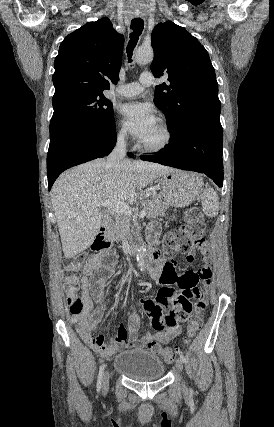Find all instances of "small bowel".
<instances>
[{
  "instance_id": "obj_1",
  "label": "small bowel",
  "mask_w": 274,
  "mask_h": 427,
  "mask_svg": "<svg viewBox=\"0 0 274 427\" xmlns=\"http://www.w3.org/2000/svg\"><path fill=\"white\" fill-rule=\"evenodd\" d=\"M159 232V225L151 223L147 230L149 240L154 241ZM195 252L202 257L208 254L207 249L200 244L194 245L193 249L189 248L186 251L188 265H197L198 258L193 256ZM117 261L118 256L114 250L98 248L90 255L82 269L83 310L78 314H72L71 318L81 338L99 356L112 358L123 350L145 349L151 342L166 343L174 336H182L183 329L180 327L179 320H187L190 314L189 311L182 310H195L196 305L206 306V298L211 285L210 279L213 276L209 264H202L200 269H180L179 271L176 264H169L162 277L166 261L158 259L150 263L147 269L150 275L159 281L162 289L156 290V299H139L137 304L142 310L145 308L151 327H155V331L159 333L148 332L140 339L138 332L141 319L136 312H133L129 315L128 326L119 325L114 339L107 341L103 335H95L93 333L95 325L100 323L106 314V304L103 302L105 283L113 274ZM199 284H202L203 292H199ZM188 294H198L196 303L195 301H179ZM94 301L100 304L95 311H93Z\"/></svg>"
}]
</instances>
